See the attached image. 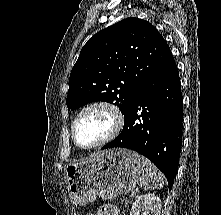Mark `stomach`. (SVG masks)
Instances as JSON below:
<instances>
[{
    "mask_svg": "<svg viewBox=\"0 0 221 215\" xmlns=\"http://www.w3.org/2000/svg\"><path fill=\"white\" fill-rule=\"evenodd\" d=\"M141 156L124 148L94 154L83 162L70 163L65 181L75 205H85L97 197L110 200L129 193L141 178Z\"/></svg>",
    "mask_w": 221,
    "mask_h": 215,
    "instance_id": "0dacf381",
    "label": "stomach"
}]
</instances>
